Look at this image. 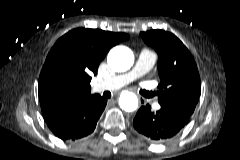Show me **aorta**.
<instances>
[{"mask_svg": "<svg viewBox=\"0 0 240 160\" xmlns=\"http://www.w3.org/2000/svg\"><path fill=\"white\" fill-rule=\"evenodd\" d=\"M109 67L115 72H125L134 63L133 52L125 46L112 48L107 57ZM119 105L126 112H133L138 108V98L132 92H122L119 98Z\"/></svg>", "mask_w": 240, "mask_h": 160, "instance_id": "aorta-1", "label": "aorta"}]
</instances>
